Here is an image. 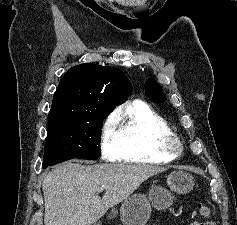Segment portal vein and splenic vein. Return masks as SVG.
Returning <instances> with one entry per match:
<instances>
[{"label": "portal vein and splenic vein", "instance_id": "18ae733b", "mask_svg": "<svg viewBox=\"0 0 237 225\" xmlns=\"http://www.w3.org/2000/svg\"><path fill=\"white\" fill-rule=\"evenodd\" d=\"M104 189H105V186L102 185V186L98 189V192H99V193H100V192H103Z\"/></svg>", "mask_w": 237, "mask_h": 225}]
</instances>
